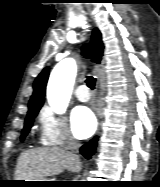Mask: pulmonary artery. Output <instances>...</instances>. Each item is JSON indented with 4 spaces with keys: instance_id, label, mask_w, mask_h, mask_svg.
Segmentation results:
<instances>
[{
    "instance_id": "1",
    "label": "pulmonary artery",
    "mask_w": 160,
    "mask_h": 187,
    "mask_svg": "<svg viewBox=\"0 0 160 187\" xmlns=\"http://www.w3.org/2000/svg\"><path fill=\"white\" fill-rule=\"evenodd\" d=\"M76 97L81 102H86L89 100L90 95L87 92V87L85 85H80L76 90Z\"/></svg>"
}]
</instances>
